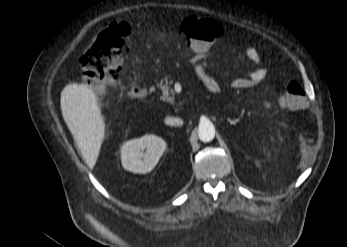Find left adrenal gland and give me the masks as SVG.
I'll list each match as a JSON object with an SVG mask.
<instances>
[{
    "mask_svg": "<svg viewBox=\"0 0 347 247\" xmlns=\"http://www.w3.org/2000/svg\"><path fill=\"white\" fill-rule=\"evenodd\" d=\"M240 117L234 120H231L230 118H227V121L231 124V125H235L237 122H239Z\"/></svg>",
    "mask_w": 347,
    "mask_h": 247,
    "instance_id": "obj_1",
    "label": "left adrenal gland"
}]
</instances>
